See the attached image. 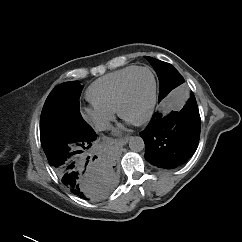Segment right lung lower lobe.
Instances as JSON below:
<instances>
[{"label": "right lung lower lobe", "instance_id": "obj_1", "mask_svg": "<svg viewBox=\"0 0 242 242\" xmlns=\"http://www.w3.org/2000/svg\"><path fill=\"white\" fill-rule=\"evenodd\" d=\"M96 133L74 137L49 148L45 154L62 183L75 195L90 200L108 196L117 182L114 163L93 155Z\"/></svg>", "mask_w": 242, "mask_h": 242}]
</instances>
